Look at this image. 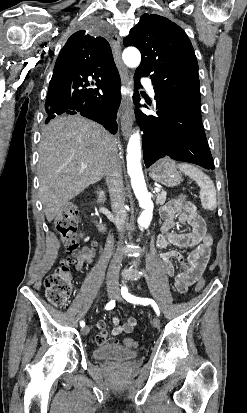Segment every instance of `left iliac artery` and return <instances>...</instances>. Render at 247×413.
<instances>
[{
	"label": "left iliac artery",
	"mask_w": 247,
	"mask_h": 413,
	"mask_svg": "<svg viewBox=\"0 0 247 413\" xmlns=\"http://www.w3.org/2000/svg\"><path fill=\"white\" fill-rule=\"evenodd\" d=\"M121 295L123 296L124 299H126L128 302L133 303V304H141V305H144V306L150 304L153 307L156 314L158 316L160 315L159 307L153 299L140 298V297L133 296L128 292V288L126 286H123L121 288Z\"/></svg>",
	"instance_id": "obj_1"
}]
</instances>
